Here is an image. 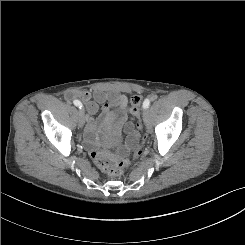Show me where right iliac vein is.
<instances>
[{
  "label": "right iliac vein",
  "mask_w": 245,
  "mask_h": 245,
  "mask_svg": "<svg viewBox=\"0 0 245 245\" xmlns=\"http://www.w3.org/2000/svg\"><path fill=\"white\" fill-rule=\"evenodd\" d=\"M85 113L83 110H80L79 113H78V126L79 128H82L84 126V123H85Z\"/></svg>",
  "instance_id": "right-iliac-vein-1"
}]
</instances>
